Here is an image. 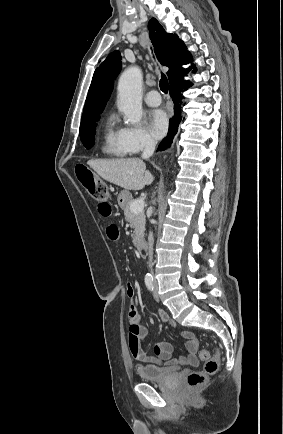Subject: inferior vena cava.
Masks as SVG:
<instances>
[{
  "label": "inferior vena cava",
  "mask_w": 283,
  "mask_h": 434,
  "mask_svg": "<svg viewBox=\"0 0 283 434\" xmlns=\"http://www.w3.org/2000/svg\"><path fill=\"white\" fill-rule=\"evenodd\" d=\"M155 147H156V142L151 139V138H147L146 142H145V147L142 153V158L143 159H148L149 157H151L155 151ZM153 242H154V238H153V233L149 232V236H148V252H149V267L151 269L152 272V266H153Z\"/></svg>",
  "instance_id": "1"
}]
</instances>
